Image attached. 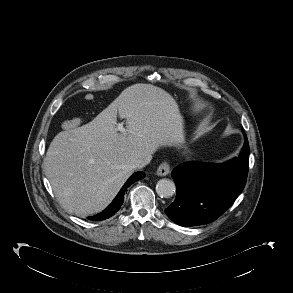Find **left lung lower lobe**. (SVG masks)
Instances as JSON below:
<instances>
[{"label": "left lung lower lobe", "instance_id": "left-lung-lower-lobe-1", "mask_svg": "<svg viewBox=\"0 0 293 293\" xmlns=\"http://www.w3.org/2000/svg\"><path fill=\"white\" fill-rule=\"evenodd\" d=\"M249 165V144L224 164L185 162L172 171L175 201L165 213L181 226L208 224L222 215L244 189Z\"/></svg>", "mask_w": 293, "mask_h": 293}]
</instances>
